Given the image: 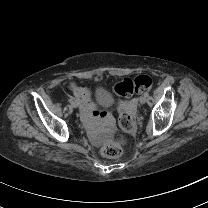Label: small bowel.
Returning a JSON list of instances; mask_svg holds the SVG:
<instances>
[{"label": "small bowel", "mask_w": 208, "mask_h": 208, "mask_svg": "<svg viewBox=\"0 0 208 208\" xmlns=\"http://www.w3.org/2000/svg\"><path fill=\"white\" fill-rule=\"evenodd\" d=\"M103 89L104 86L102 84H99L95 88V91L97 93H100ZM74 94L76 95L77 103L81 107L80 120L83 122L86 130L88 131V134L91 136L94 143L96 145H100L105 140L104 135L109 129L114 126L112 118L110 116H107L106 112L104 111H91V109L94 107L93 101L95 103H98L100 101V98L98 96H95L92 101L90 95L82 90L80 81L78 79L64 81L62 83L61 90H58L56 92V95L61 99H64L65 97L67 99H71ZM63 114L65 116H70L72 114V109L70 107H65L63 109ZM97 118L101 119L102 121L97 125L96 128V125L93 123L92 120H95Z\"/></svg>", "instance_id": "c3829d8e"}]
</instances>
